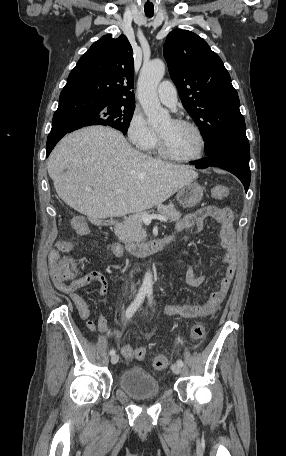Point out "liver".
<instances>
[{
  "label": "liver",
  "instance_id": "6515ba94",
  "mask_svg": "<svg viewBox=\"0 0 286 456\" xmlns=\"http://www.w3.org/2000/svg\"><path fill=\"white\" fill-rule=\"evenodd\" d=\"M47 169L60 199L91 222L150 209L198 177L189 166L133 149L120 132L103 126L65 136Z\"/></svg>",
  "mask_w": 286,
  "mask_h": 456
}]
</instances>
